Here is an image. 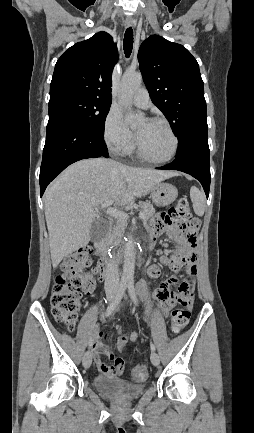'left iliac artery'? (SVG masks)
Returning <instances> with one entry per match:
<instances>
[{"instance_id":"44dca946","label":"left iliac artery","mask_w":254,"mask_h":433,"mask_svg":"<svg viewBox=\"0 0 254 433\" xmlns=\"http://www.w3.org/2000/svg\"><path fill=\"white\" fill-rule=\"evenodd\" d=\"M127 286H128V292H129L131 299L133 300V302L136 305H138V299H137V295H136L135 288H134V282L129 281ZM150 348L152 351H155V345L152 342H150Z\"/></svg>"}]
</instances>
